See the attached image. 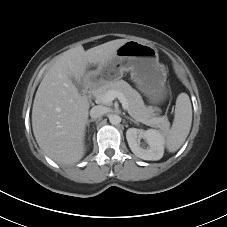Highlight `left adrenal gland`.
<instances>
[{
  "mask_svg": "<svg viewBox=\"0 0 227 227\" xmlns=\"http://www.w3.org/2000/svg\"><path fill=\"white\" fill-rule=\"evenodd\" d=\"M126 119H128V120L132 121V122H133V123H135V124H138V122H137V121H135L134 119H132V118H130V117H128V116H126Z\"/></svg>",
  "mask_w": 227,
  "mask_h": 227,
  "instance_id": "obj_1",
  "label": "left adrenal gland"
}]
</instances>
